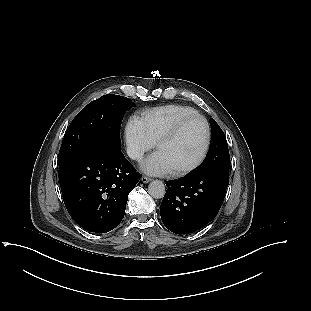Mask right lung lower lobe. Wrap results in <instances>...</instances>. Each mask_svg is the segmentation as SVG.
<instances>
[{"label": "right lung lower lobe", "mask_w": 311, "mask_h": 311, "mask_svg": "<svg viewBox=\"0 0 311 311\" xmlns=\"http://www.w3.org/2000/svg\"><path fill=\"white\" fill-rule=\"evenodd\" d=\"M63 200L83 229L106 233L119 225L140 174L121 151L91 150L59 166Z\"/></svg>", "instance_id": "right-lung-lower-lobe-1"}]
</instances>
